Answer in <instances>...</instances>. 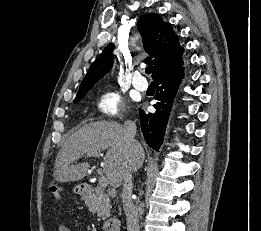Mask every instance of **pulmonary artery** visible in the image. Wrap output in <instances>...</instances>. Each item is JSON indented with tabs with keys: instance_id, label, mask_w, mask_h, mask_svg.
<instances>
[{
	"instance_id": "obj_1",
	"label": "pulmonary artery",
	"mask_w": 261,
	"mask_h": 231,
	"mask_svg": "<svg viewBox=\"0 0 261 231\" xmlns=\"http://www.w3.org/2000/svg\"><path fill=\"white\" fill-rule=\"evenodd\" d=\"M132 83L133 86L140 91H144L148 87V83L140 73L134 75Z\"/></svg>"
}]
</instances>
